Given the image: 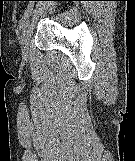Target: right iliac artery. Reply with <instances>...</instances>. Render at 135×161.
Masks as SVG:
<instances>
[{
  "label": "right iliac artery",
  "instance_id": "1",
  "mask_svg": "<svg viewBox=\"0 0 135 161\" xmlns=\"http://www.w3.org/2000/svg\"><path fill=\"white\" fill-rule=\"evenodd\" d=\"M30 14H31V8H28L25 11L22 19L20 20V23H19V29H20V31H23L25 29Z\"/></svg>",
  "mask_w": 135,
  "mask_h": 161
}]
</instances>
